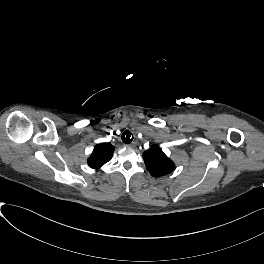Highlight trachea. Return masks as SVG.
<instances>
[{"instance_id": "trachea-1", "label": "trachea", "mask_w": 264, "mask_h": 264, "mask_svg": "<svg viewBox=\"0 0 264 264\" xmlns=\"http://www.w3.org/2000/svg\"><path fill=\"white\" fill-rule=\"evenodd\" d=\"M122 141L126 144L131 143V141L133 140V134L130 131H125L122 134Z\"/></svg>"}]
</instances>
